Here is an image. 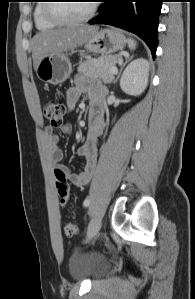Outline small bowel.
<instances>
[{
  "mask_svg": "<svg viewBox=\"0 0 195 299\" xmlns=\"http://www.w3.org/2000/svg\"><path fill=\"white\" fill-rule=\"evenodd\" d=\"M105 87L99 83L90 82L79 77L76 85L67 92L66 102L69 109H73L82 94L89 99L88 129L84 143L78 147L77 154L84 159L82 169L79 173H72L69 168L62 165L63 152L58 147L57 136L52 126L44 129V135L52 162L57 169L64 172L69 181L76 187H83L92 177L97 162V138L103 133V100ZM64 133H70L71 124L65 123L61 126Z\"/></svg>",
  "mask_w": 195,
  "mask_h": 299,
  "instance_id": "obj_1",
  "label": "small bowel"
}]
</instances>
